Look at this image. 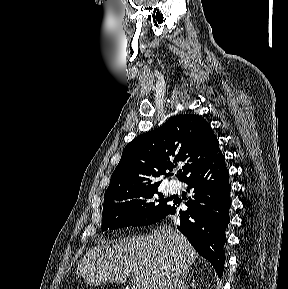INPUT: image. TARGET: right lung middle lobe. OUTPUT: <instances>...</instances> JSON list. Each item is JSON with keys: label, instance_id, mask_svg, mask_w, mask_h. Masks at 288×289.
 <instances>
[{"label": "right lung middle lobe", "instance_id": "right-lung-middle-lobe-1", "mask_svg": "<svg viewBox=\"0 0 288 289\" xmlns=\"http://www.w3.org/2000/svg\"><path fill=\"white\" fill-rule=\"evenodd\" d=\"M157 187L111 193L104 196L102 231L127 226L151 225L171 208Z\"/></svg>", "mask_w": 288, "mask_h": 289}]
</instances>
